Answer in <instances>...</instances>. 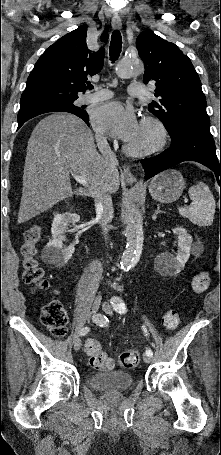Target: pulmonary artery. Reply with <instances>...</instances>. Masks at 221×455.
I'll return each mask as SVG.
<instances>
[{"mask_svg": "<svg viewBox=\"0 0 221 455\" xmlns=\"http://www.w3.org/2000/svg\"><path fill=\"white\" fill-rule=\"evenodd\" d=\"M128 93L132 96L143 97L146 94L145 87L141 83H131L128 87ZM112 93L104 88H97L95 92L86 94L81 97V103H96L110 99Z\"/></svg>", "mask_w": 221, "mask_h": 455, "instance_id": "pulmonary-artery-1", "label": "pulmonary artery"}]
</instances>
